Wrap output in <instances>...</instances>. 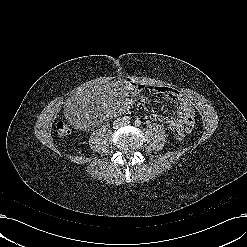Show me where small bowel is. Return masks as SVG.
<instances>
[{"label":"small bowel","mask_w":247,"mask_h":247,"mask_svg":"<svg viewBox=\"0 0 247 247\" xmlns=\"http://www.w3.org/2000/svg\"><path fill=\"white\" fill-rule=\"evenodd\" d=\"M140 89H147L151 92L164 95L168 100L174 102L178 109V117L174 116H153L154 120H159L166 124L173 131L190 132L194 127L195 112L190 102L177 90L161 85H139Z\"/></svg>","instance_id":"small-bowel-1"}]
</instances>
